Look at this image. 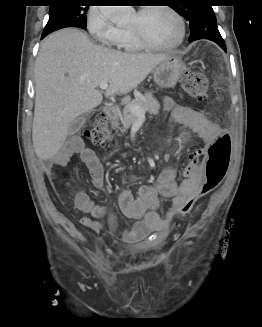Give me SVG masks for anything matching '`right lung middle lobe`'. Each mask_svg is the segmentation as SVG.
Wrapping results in <instances>:
<instances>
[{
  "instance_id": "right-lung-middle-lobe-1",
  "label": "right lung middle lobe",
  "mask_w": 262,
  "mask_h": 327,
  "mask_svg": "<svg viewBox=\"0 0 262 327\" xmlns=\"http://www.w3.org/2000/svg\"><path fill=\"white\" fill-rule=\"evenodd\" d=\"M88 6H79L76 0H56L50 6L49 20L43 34H49L64 27L85 28Z\"/></svg>"
}]
</instances>
